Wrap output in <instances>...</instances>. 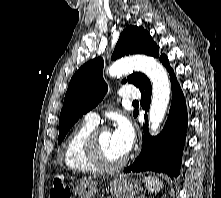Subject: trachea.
<instances>
[{
	"instance_id": "trachea-1",
	"label": "trachea",
	"mask_w": 221,
	"mask_h": 198,
	"mask_svg": "<svg viewBox=\"0 0 221 198\" xmlns=\"http://www.w3.org/2000/svg\"><path fill=\"white\" fill-rule=\"evenodd\" d=\"M138 103H139L138 101H134V102H133V104H138Z\"/></svg>"
}]
</instances>
